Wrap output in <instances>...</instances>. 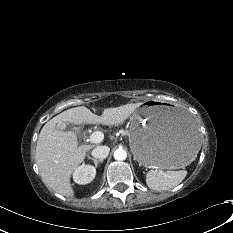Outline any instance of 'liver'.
<instances>
[{
	"label": "liver",
	"mask_w": 233,
	"mask_h": 233,
	"mask_svg": "<svg viewBox=\"0 0 233 233\" xmlns=\"http://www.w3.org/2000/svg\"><path fill=\"white\" fill-rule=\"evenodd\" d=\"M141 105L139 102L107 108L101 116L80 106L68 109L48 121L39 134L35 155L46 187L67 197L74 196L71 176L84 161L86 152L92 148L90 145L78 146L76 133L61 131L57 128L58 124L116 125L123 123Z\"/></svg>",
	"instance_id": "obj_1"
}]
</instances>
